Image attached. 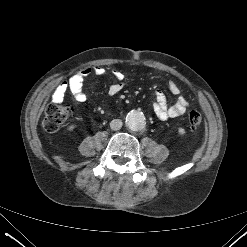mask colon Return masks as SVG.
Wrapping results in <instances>:
<instances>
[{
	"instance_id": "5ec220e1",
	"label": "colon",
	"mask_w": 247,
	"mask_h": 247,
	"mask_svg": "<svg viewBox=\"0 0 247 247\" xmlns=\"http://www.w3.org/2000/svg\"><path fill=\"white\" fill-rule=\"evenodd\" d=\"M73 113V108L69 105H60L52 102L45 108L43 127L48 133L57 132L64 122ZM188 123L192 129H197L202 123V114L197 110H192L188 114Z\"/></svg>"
}]
</instances>
